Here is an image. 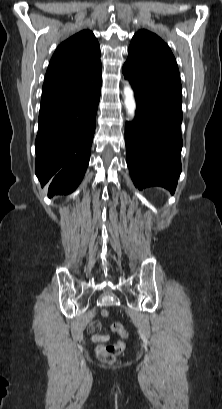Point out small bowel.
I'll list each match as a JSON object with an SVG mask.
<instances>
[{"instance_id": "small-bowel-1", "label": "small bowel", "mask_w": 222, "mask_h": 409, "mask_svg": "<svg viewBox=\"0 0 222 409\" xmlns=\"http://www.w3.org/2000/svg\"><path fill=\"white\" fill-rule=\"evenodd\" d=\"M100 327V323L96 321L90 324V331L93 333L92 341L95 343L107 342L110 339L108 334L98 333Z\"/></svg>"}]
</instances>
